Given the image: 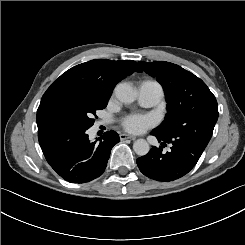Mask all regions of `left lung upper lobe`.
Returning <instances> with one entry per match:
<instances>
[{"label": "left lung upper lobe", "instance_id": "left-lung-upper-lobe-1", "mask_svg": "<svg viewBox=\"0 0 245 245\" xmlns=\"http://www.w3.org/2000/svg\"><path fill=\"white\" fill-rule=\"evenodd\" d=\"M142 69L163 86L167 114L155 130L166 136L214 129L218 119V104L207 85L191 72L165 62H140ZM206 133L212 135L213 131Z\"/></svg>", "mask_w": 245, "mask_h": 245}]
</instances>
